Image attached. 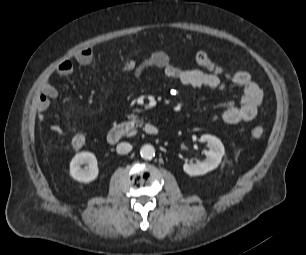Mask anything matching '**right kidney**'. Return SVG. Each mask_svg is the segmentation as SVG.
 <instances>
[{
  "label": "right kidney",
  "mask_w": 306,
  "mask_h": 255,
  "mask_svg": "<svg viewBox=\"0 0 306 255\" xmlns=\"http://www.w3.org/2000/svg\"><path fill=\"white\" fill-rule=\"evenodd\" d=\"M83 164H87L84 169L81 168ZM98 173L97 159L91 152L78 153L70 162V175L78 182L89 183L97 178Z\"/></svg>",
  "instance_id": "right-kidney-1"
}]
</instances>
